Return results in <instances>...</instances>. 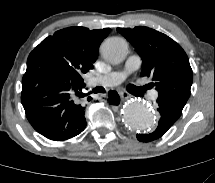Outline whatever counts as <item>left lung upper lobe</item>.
<instances>
[{"instance_id":"obj_1","label":"left lung upper lobe","mask_w":215,"mask_h":183,"mask_svg":"<svg viewBox=\"0 0 215 183\" xmlns=\"http://www.w3.org/2000/svg\"><path fill=\"white\" fill-rule=\"evenodd\" d=\"M142 58V76L152 77L158 91L157 102L171 108L178 116L190 96L193 80L189 59L170 37L154 29L138 26L118 28Z\"/></svg>"}]
</instances>
